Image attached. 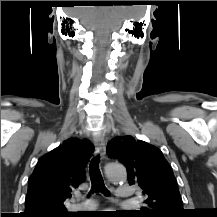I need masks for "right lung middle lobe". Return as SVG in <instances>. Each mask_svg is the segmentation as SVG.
Segmentation results:
<instances>
[{"mask_svg": "<svg viewBox=\"0 0 217 217\" xmlns=\"http://www.w3.org/2000/svg\"><path fill=\"white\" fill-rule=\"evenodd\" d=\"M55 217H67L65 215H55Z\"/></svg>", "mask_w": 217, "mask_h": 217, "instance_id": "dd1d6c3e", "label": "right lung middle lobe"}]
</instances>
